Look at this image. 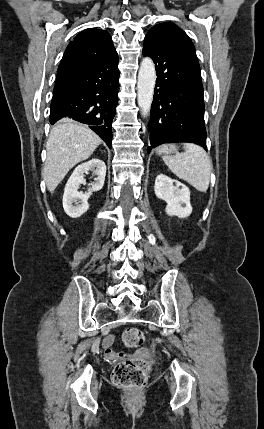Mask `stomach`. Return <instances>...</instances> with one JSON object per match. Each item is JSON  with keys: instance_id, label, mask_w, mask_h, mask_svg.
<instances>
[{"instance_id": "0dacf381", "label": "stomach", "mask_w": 264, "mask_h": 429, "mask_svg": "<svg viewBox=\"0 0 264 429\" xmlns=\"http://www.w3.org/2000/svg\"><path fill=\"white\" fill-rule=\"evenodd\" d=\"M176 151H177L176 146L169 144V145H164V146H161L160 148H158L157 154L158 155H161V154L170 155Z\"/></svg>"}]
</instances>
